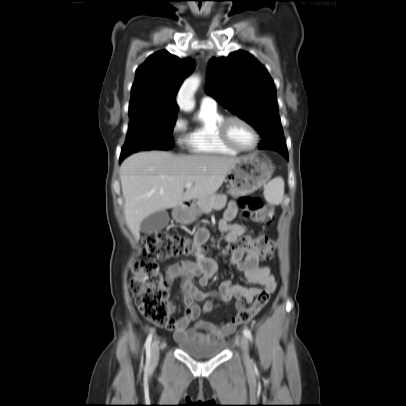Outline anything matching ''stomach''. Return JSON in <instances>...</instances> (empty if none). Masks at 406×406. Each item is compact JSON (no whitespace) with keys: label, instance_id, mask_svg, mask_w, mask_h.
Segmentation results:
<instances>
[{"label":"stomach","instance_id":"stomach-1","mask_svg":"<svg viewBox=\"0 0 406 406\" xmlns=\"http://www.w3.org/2000/svg\"><path fill=\"white\" fill-rule=\"evenodd\" d=\"M272 175V166L265 159L256 154L242 157L240 162L227 174L226 179L230 184L229 193L233 197H240L252 193L265 186ZM199 215L198 209L190 207H176L173 218L182 224H190Z\"/></svg>","mask_w":406,"mask_h":406}]
</instances>
